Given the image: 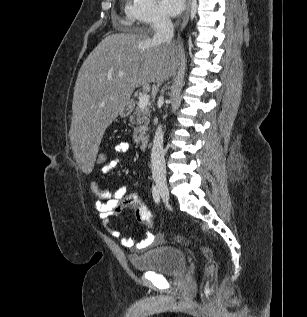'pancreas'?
<instances>
[{"instance_id":"1","label":"pancreas","mask_w":307,"mask_h":317,"mask_svg":"<svg viewBox=\"0 0 307 317\" xmlns=\"http://www.w3.org/2000/svg\"><path fill=\"white\" fill-rule=\"evenodd\" d=\"M130 121L136 125L134 127L133 140L135 143L139 144L145 139L144 135L150 121V109L148 107H145L144 109L139 108V106L134 107L133 114L130 116Z\"/></svg>"}]
</instances>
